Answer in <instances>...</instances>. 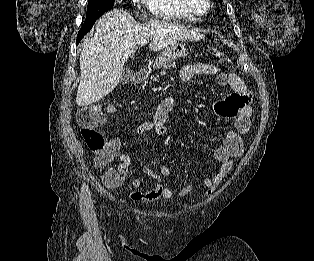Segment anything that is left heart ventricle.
Returning <instances> with one entry per match:
<instances>
[{"label":"left heart ventricle","instance_id":"b2bd125f","mask_svg":"<svg viewBox=\"0 0 314 261\" xmlns=\"http://www.w3.org/2000/svg\"><path fill=\"white\" fill-rule=\"evenodd\" d=\"M191 5L197 11H203L205 9V0H190Z\"/></svg>","mask_w":314,"mask_h":261}]
</instances>
